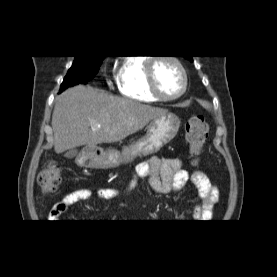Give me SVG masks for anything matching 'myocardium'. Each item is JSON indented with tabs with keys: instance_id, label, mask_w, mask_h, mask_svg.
<instances>
[{
	"instance_id": "f54148a6",
	"label": "myocardium",
	"mask_w": 277,
	"mask_h": 277,
	"mask_svg": "<svg viewBox=\"0 0 277 277\" xmlns=\"http://www.w3.org/2000/svg\"><path fill=\"white\" fill-rule=\"evenodd\" d=\"M159 60H167V61H170V62L174 63L178 67V69H179V71H180V73L182 75L183 86H182L181 90L176 95L165 96V95H163L160 92V90H159V88L157 86L154 68H155L156 62L159 61ZM146 76H147V83H148V89H149V91L157 99H159L161 101H173V100H176V99L180 98L182 95H184L185 92L188 89L189 81H188L187 71H186L183 63L179 60V58H177V57H175L173 55H163V56H158V57L151 58L147 62V65H146Z\"/></svg>"
}]
</instances>
